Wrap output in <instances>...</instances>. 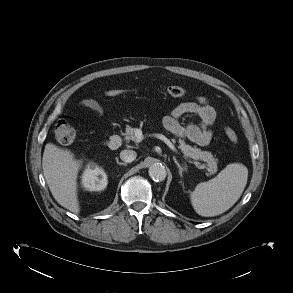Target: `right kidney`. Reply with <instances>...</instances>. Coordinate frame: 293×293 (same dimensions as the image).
Wrapping results in <instances>:
<instances>
[{
    "label": "right kidney",
    "mask_w": 293,
    "mask_h": 293,
    "mask_svg": "<svg viewBox=\"0 0 293 293\" xmlns=\"http://www.w3.org/2000/svg\"><path fill=\"white\" fill-rule=\"evenodd\" d=\"M107 184L105 171L94 163H90L82 175L83 187L88 191H102Z\"/></svg>",
    "instance_id": "ca27d5eb"
}]
</instances>
